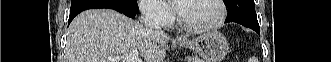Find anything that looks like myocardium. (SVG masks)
<instances>
[{"label": "myocardium", "instance_id": "1", "mask_svg": "<svg viewBox=\"0 0 331 62\" xmlns=\"http://www.w3.org/2000/svg\"><path fill=\"white\" fill-rule=\"evenodd\" d=\"M219 9V15L215 21L206 25H192L187 23L181 16V13H178L177 21L181 27L190 32H207L219 28L225 21L227 17V10L223 0H213Z\"/></svg>", "mask_w": 331, "mask_h": 62}]
</instances>
